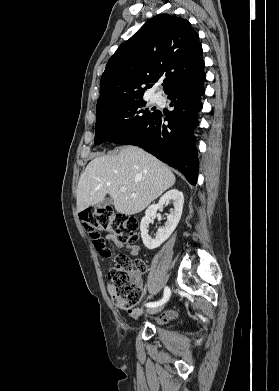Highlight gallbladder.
Returning <instances> with one entry per match:
<instances>
[{
  "instance_id": "obj_1",
  "label": "gallbladder",
  "mask_w": 279,
  "mask_h": 391,
  "mask_svg": "<svg viewBox=\"0 0 279 391\" xmlns=\"http://www.w3.org/2000/svg\"><path fill=\"white\" fill-rule=\"evenodd\" d=\"M112 204V201L109 200V199H104L103 201L99 202L98 204H96V208H105L106 206Z\"/></svg>"
}]
</instances>
